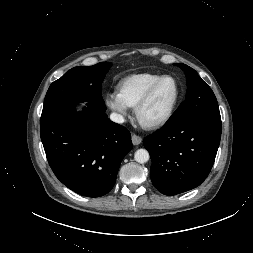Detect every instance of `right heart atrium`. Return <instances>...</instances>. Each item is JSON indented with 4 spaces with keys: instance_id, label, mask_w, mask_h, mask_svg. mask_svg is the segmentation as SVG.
Here are the masks:
<instances>
[{
    "instance_id": "1",
    "label": "right heart atrium",
    "mask_w": 253,
    "mask_h": 253,
    "mask_svg": "<svg viewBox=\"0 0 253 253\" xmlns=\"http://www.w3.org/2000/svg\"><path fill=\"white\" fill-rule=\"evenodd\" d=\"M107 106L117 114L119 118H124L127 115L128 109L117 96L109 94L106 97Z\"/></svg>"
}]
</instances>
